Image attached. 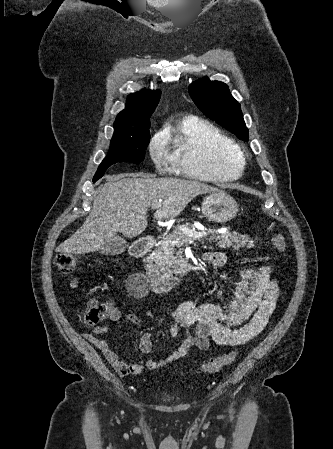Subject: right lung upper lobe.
Instances as JSON below:
<instances>
[{
	"mask_svg": "<svg viewBox=\"0 0 333 449\" xmlns=\"http://www.w3.org/2000/svg\"><path fill=\"white\" fill-rule=\"evenodd\" d=\"M161 92L143 90L128 96L126 108L121 111L114 122L113 138L137 137L144 124L155 110Z\"/></svg>",
	"mask_w": 333,
	"mask_h": 449,
	"instance_id": "cb5924a9",
	"label": "right lung upper lobe"
}]
</instances>
